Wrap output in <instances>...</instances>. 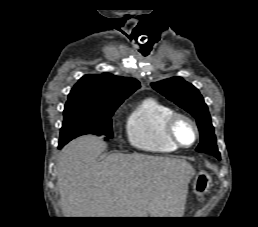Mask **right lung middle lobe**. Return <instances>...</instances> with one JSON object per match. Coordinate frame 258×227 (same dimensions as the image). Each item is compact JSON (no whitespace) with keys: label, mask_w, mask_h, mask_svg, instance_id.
I'll use <instances>...</instances> for the list:
<instances>
[{"label":"right lung middle lobe","mask_w":258,"mask_h":227,"mask_svg":"<svg viewBox=\"0 0 258 227\" xmlns=\"http://www.w3.org/2000/svg\"><path fill=\"white\" fill-rule=\"evenodd\" d=\"M119 105L100 107L67 102L63 112L64 120L59 143H68L85 134L101 136L105 140L112 138L111 117Z\"/></svg>","instance_id":"dd1d6c3e"}]
</instances>
